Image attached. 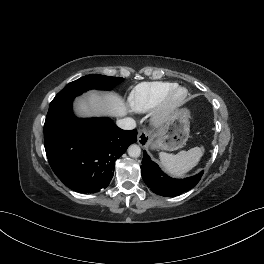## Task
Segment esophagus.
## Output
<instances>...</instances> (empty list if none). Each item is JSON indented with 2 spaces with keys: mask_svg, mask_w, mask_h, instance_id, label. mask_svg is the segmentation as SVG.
Masks as SVG:
<instances>
[{
  "mask_svg": "<svg viewBox=\"0 0 264 264\" xmlns=\"http://www.w3.org/2000/svg\"><path fill=\"white\" fill-rule=\"evenodd\" d=\"M137 142L142 147H146L149 144L148 134L143 129L138 131Z\"/></svg>",
  "mask_w": 264,
  "mask_h": 264,
  "instance_id": "1",
  "label": "esophagus"
}]
</instances>
